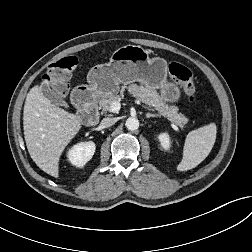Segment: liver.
Listing matches in <instances>:
<instances>
[{
  "mask_svg": "<svg viewBox=\"0 0 252 252\" xmlns=\"http://www.w3.org/2000/svg\"><path fill=\"white\" fill-rule=\"evenodd\" d=\"M81 127V119L52 104L41 86L27 94L23 111L25 142L32 160L45 173L59 176L60 156Z\"/></svg>",
  "mask_w": 252,
  "mask_h": 252,
  "instance_id": "liver-1",
  "label": "liver"
}]
</instances>
